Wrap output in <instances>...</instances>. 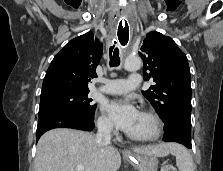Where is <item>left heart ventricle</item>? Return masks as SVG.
Wrapping results in <instances>:
<instances>
[{"instance_id":"left-heart-ventricle-1","label":"left heart ventricle","mask_w":223,"mask_h":171,"mask_svg":"<svg viewBox=\"0 0 223 171\" xmlns=\"http://www.w3.org/2000/svg\"><path fill=\"white\" fill-rule=\"evenodd\" d=\"M154 130L155 126L153 121L149 117L140 113L128 134L136 137H147L152 135Z\"/></svg>"}]
</instances>
